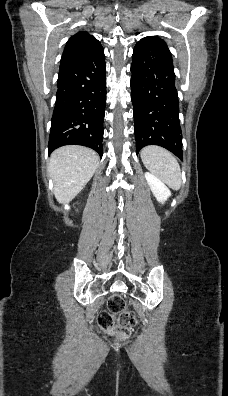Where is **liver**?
I'll return each instance as SVG.
<instances>
[{
    "label": "liver",
    "mask_w": 228,
    "mask_h": 396,
    "mask_svg": "<svg viewBox=\"0 0 228 396\" xmlns=\"http://www.w3.org/2000/svg\"><path fill=\"white\" fill-rule=\"evenodd\" d=\"M98 164V154L83 146L68 145L55 150L50 156L48 174L53 179L57 201H71L92 178Z\"/></svg>",
    "instance_id": "1"
}]
</instances>
